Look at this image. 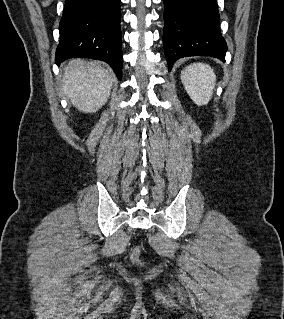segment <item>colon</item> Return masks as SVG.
Listing matches in <instances>:
<instances>
[{
	"instance_id": "colon-1",
	"label": "colon",
	"mask_w": 284,
	"mask_h": 319,
	"mask_svg": "<svg viewBox=\"0 0 284 319\" xmlns=\"http://www.w3.org/2000/svg\"><path fill=\"white\" fill-rule=\"evenodd\" d=\"M132 260H133L135 263H139V262H140V250H139V249H135V250L132 252Z\"/></svg>"
}]
</instances>
